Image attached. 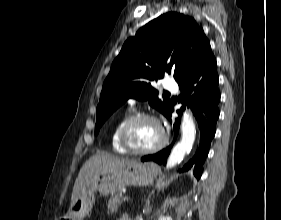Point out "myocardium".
<instances>
[{"instance_id":"f54148a6","label":"myocardium","mask_w":281,"mask_h":220,"mask_svg":"<svg viewBox=\"0 0 281 220\" xmlns=\"http://www.w3.org/2000/svg\"><path fill=\"white\" fill-rule=\"evenodd\" d=\"M153 121L158 124V126L161 129L162 133V139L161 141L154 147L148 148V149H139L135 147L131 141L130 134L133 129V127L138 124L141 121ZM167 135L159 122V120L150 114H145V113H140V114H135L132 117H130L121 127L120 132H119V141L121 146L130 154H135V155H147V154H153L165 147L167 144Z\"/></svg>"}]
</instances>
